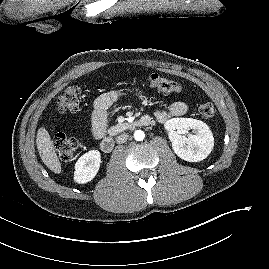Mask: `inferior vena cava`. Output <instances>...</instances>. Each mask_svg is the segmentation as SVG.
<instances>
[{
    "mask_svg": "<svg viewBox=\"0 0 269 269\" xmlns=\"http://www.w3.org/2000/svg\"><path fill=\"white\" fill-rule=\"evenodd\" d=\"M128 139V134L127 133H123L121 135H119L117 138H116V142L118 144H122V143H125Z\"/></svg>",
    "mask_w": 269,
    "mask_h": 269,
    "instance_id": "inferior-vena-cava-1",
    "label": "inferior vena cava"
}]
</instances>
